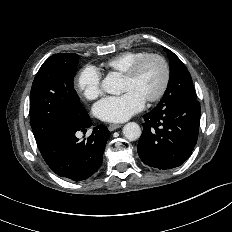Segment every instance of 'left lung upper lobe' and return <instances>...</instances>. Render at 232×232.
Masks as SVG:
<instances>
[{"label":"left lung upper lobe","mask_w":232,"mask_h":232,"mask_svg":"<svg viewBox=\"0 0 232 232\" xmlns=\"http://www.w3.org/2000/svg\"><path fill=\"white\" fill-rule=\"evenodd\" d=\"M170 61V77L165 94L157 107H164L180 98L196 100L192 78L182 61L169 49L164 48Z\"/></svg>","instance_id":"left-lung-upper-lobe-1"}]
</instances>
